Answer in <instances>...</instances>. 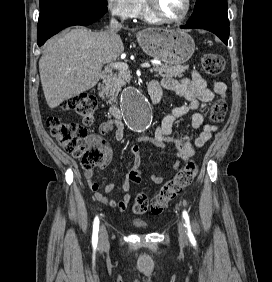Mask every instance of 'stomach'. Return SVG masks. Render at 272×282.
<instances>
[{
  "mask_svg": "<svg viewBox=\"0 0 272 282\" xmlns=\"http://www.w3.org/2000/svg\"><path fill=\"white\" fill-rule=\"evenodd\" d=\"M137 41L145 53L169 65L185 63L195 51L193 38L180 29L147 28L137 33Z\"/></svg>",
  "mask_w": 272,
  "mask_h": 282,
  "instance_id": "0dacf381",
  "label": "stomach"
}]
</instances>
